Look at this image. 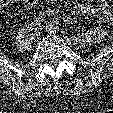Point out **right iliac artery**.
I'll use <instances>...</instances> for the list:
<instances>
[{
	"mask_svg": "<svg viewBox=\"0 0 113 113\" xmlns=\"http://www.w3.org/2000/svg\"><path fill=\"white\" fill-rule=\"evenodd\" d=\"M46 12H47L46 14H47L48 16H50V14H53V13H54V10L48 9ZM45 17H46L45 13L40 12L39 15H38V17L34 18V21L31 22V23L27 26L28 30H29V31H32L33 29H35L34 27H35L36 25H40L41 22L44 21V18H45ZM26 30H27V29H26Z\"/></svg>",
	"mask_w": 113,
	"mask_h": 113,
	"instance_id": "1",
	"label": "right iliac artery"
}]
</instances>
